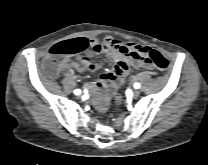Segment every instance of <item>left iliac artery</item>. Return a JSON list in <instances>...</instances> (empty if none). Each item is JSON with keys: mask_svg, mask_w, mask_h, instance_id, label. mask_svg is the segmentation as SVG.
Returning a JSON list of instances; mask_svg holds the SVG:
<instances>
[{"mask_svg": "<svg viewBox=\"0 0 208 165\" xmlns=\"http://www.w3.org/2000/svg\"><path fill=\"white\" fill-rule=\"evenodd\" d=\"M134 87H135L136 89H138V88L140 87V84H139V83H135V84H134Z\"/></svg>", "mask_w": 208, "mask_h": 165, "instance_id": "1", "label": "left iliac artery"}]
</instances>
